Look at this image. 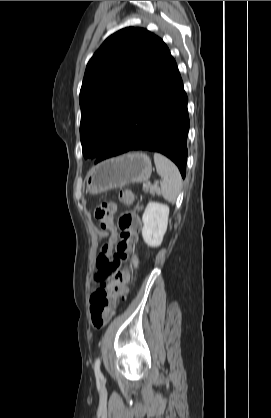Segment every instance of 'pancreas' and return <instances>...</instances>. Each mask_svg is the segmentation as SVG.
I'll return each mask as SVG.
<instances>
[{"mask_svg":"<svg viewBox=\"0 0 271 418\" xmlns=\"http://www.w3.org/2000/svg\"><path fill=\"white\" fill-rule=\"evenodd\" d=\"M143 190L145 192H149L152 195H154L155 193L156 194H159L160 193V189L156 185L155 186H153V185H146V186L143 187Z\"/></svg>","mask_w":271,"mask_h":418,"instance_id":"1","label":"pancreas"}]
</instances>
